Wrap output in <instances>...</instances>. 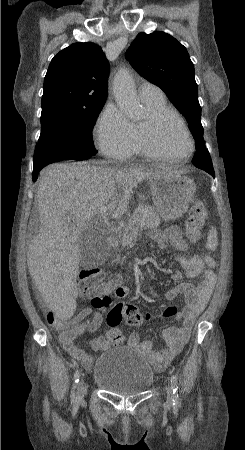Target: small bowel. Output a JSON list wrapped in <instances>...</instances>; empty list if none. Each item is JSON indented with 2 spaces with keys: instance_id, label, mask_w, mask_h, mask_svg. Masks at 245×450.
<instances>
[{
  "instance_id": "1",
  "label": "small bowel",
  "mask_w": 245,
  "mask_h": 450,
  "mask_svg": "<svg viewBox=\"0 0 245 450\" xmlns=\"http://www.w3.org/2000/svg\"><path fill=\"white\" fill-rule=\"evenodd\" d=\"M151 238L160 249H165L171 245L178 252L176 260L182 265L188 276L197 277L201 275V279L197 284L184 282L166 293L168 299H174L179 295H183L185 306L176 315V319L182 322V326L179 328H166L163 331V339L165 341V348L163 350H154L151 341L141 340L139 334L136 332L129 334L127 337L126 344L129 347L137 349L143 354L157 371H163L169 365L170 361L180 353L188 341L195 320L201 315L211 296L216 282V274L208 267L204 256L193 254L186 257L182 255L187 248V243L184 241L181 231L177 227H170L163 231H154ZM171 277L178 279L180 278V273L173 272ZM111 282L114 283V288L110 292V303L113 301H122L131 295L130 288L123 286L119 277L113 278ZM82 291L90 299H94L96 296V293L93 291H84L83 289ZM103 320L104 311L92 307L78 313L72 319V322L79 324L80 331L82 332H94L100 328ZM60 340L65 350L74 359L81 361L86 368L91 367L94 360L93 356L80 349L72 338L67 340L61 335ZM112 344L114 343L109 339L108 332L91 342V346L95 352L107 351Z\"/></svg>"
}]
</instances>
